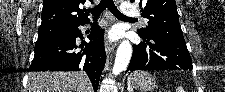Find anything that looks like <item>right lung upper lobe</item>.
<instances>
[{"mask_svg": "<svg viewBox=\"0 0 225 92\" xmlns=\"http://www.w3.org/2000/svg\"><path fill=\"white\" fill-rule=\"evenodd\" d=\"M86 0H44L41 27H76L89 23L88 13L79 5ZM93 3V0H89Z\"/></svg>", "mask_w": 225, "mask_h": 92, "instance_id": "obj_1", "label": "right lung upper lobe"}]
</instances>
